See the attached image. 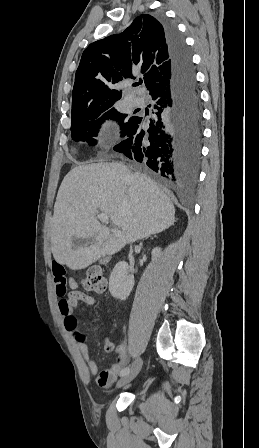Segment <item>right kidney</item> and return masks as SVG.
<instances>
[{
    "mask_svg": "<svg viewBox=\"0 0 259 448\" xmlns=\"http://www.w3.org/2000/svg\"><path fill=\"white\" fill-rule=\"evenodd\" d=\"M160 248H154L152 250V256L154 260L159 258ZM134 286V278L130 274L129 266L127 262H118L113 272H111L109 280V292L113 298H118V300H126L132 292Z\"/></svg>",
    "mask_w": 259,
    "mask_h": 448,
    "instance_id": "right-kidney-1",
    "label": "right kidney"
}]
</instances>
